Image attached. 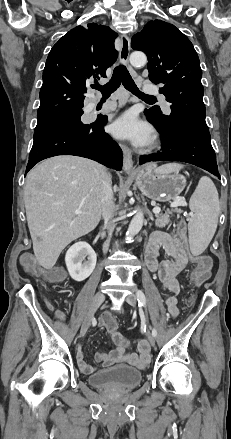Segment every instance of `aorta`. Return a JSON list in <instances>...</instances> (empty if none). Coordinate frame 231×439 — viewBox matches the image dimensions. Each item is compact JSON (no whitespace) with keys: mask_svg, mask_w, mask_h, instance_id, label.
<instances>
[{"mask_svg":"<svg viewBox=\"0 0 231 439\" xmlns=\"http://www.w3.org/2000/svg\"><path fill=\"white\" fill-rule=\"evenodd\" d=\"M130 63L135 68L143 67L147 63V57L143 52L135 51L130 55ZM144 222V214L137 209L127 230V235H136L142 228Z\"/></svg>","mask_w":231,"mask_h":439,"instance_id":"1","label":"aorta"}]
</instances>
